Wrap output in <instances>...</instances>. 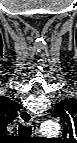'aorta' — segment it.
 I'll list each match as a JSON object with an SVG mask.
<instances>
[{
  "label": "aorta",
  "mask_w": 77,
  "mask_h": 143,
  "mask_svg": "<svg viewBox=\"0 0 77 143\" xmlns=\"http://www.w3.org/2000/svg\"><path fill=\"white\" fill-rule=\"evenodd\" d=\"M40 131L43 135L56 136L60 132V126L56 122L46 121L41 125Z\"/></svg>",
  "instance_id": "762f6f07"
}]
</instances>
